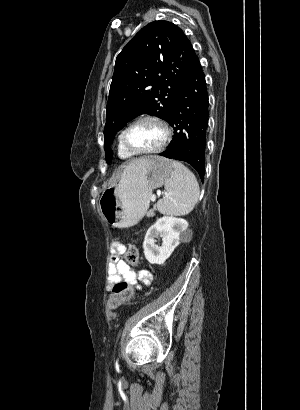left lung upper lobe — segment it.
<instances>
[{"mask_svg": "<svg viewBox=\"0 0 300 410\" xmlns=\"http://www.w3.org/2000/svg\"><path fill=\"white\" fill-rule=\"evenodd\" d=\"M197 55L183 31L168 21L143 27L117 56L106 107L104 149L131 119L150 113L167 120L178 91Z\"/></svg>", "mask_w": 300, "mask_h": 410, "instance_id": "obj_1", "label": "left lung upper lobe"}]
</instances>
